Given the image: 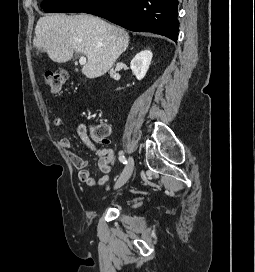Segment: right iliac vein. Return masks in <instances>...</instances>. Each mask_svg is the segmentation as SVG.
Returning a JSON list of instances; mask_svg holds the SVG:
<instances>
[{
    "label": "right iliac vein",
    "mask_w": 255,
    "mask_h": 272,
    "mask_svg": "<svg viewBox=\"0 0 255 272\" xmlns=\"http://www.w3.org/2000/svg\"><path fill=\"white\" fill-rule=\"evenodd\" d=\"M134 169V160L132 157L129 158L128 164L124 168L123 172L121 173L120 177L118 178L115 188L122 187L130 178Z\"/></svg>",
    "instance_id": "obj_1"
}]
</instances>
